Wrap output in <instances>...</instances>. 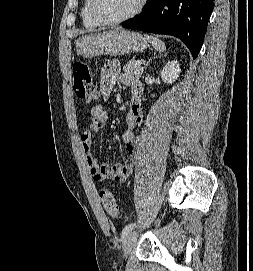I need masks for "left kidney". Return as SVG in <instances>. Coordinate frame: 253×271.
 Segmentation results:
<instances>
[{
	"instance_id": "5707ae66",
	"label": "left kidney",
	"mask_w": 253,
	"mask_h": 271,
	"mask_svg": "<svg viewBox=\"0 0 253 271\" xmlns=\"http://www.w3.org/2000/svg\"><path fill=\"white\" fill-rule=\"evenodd\" d=\"M181 73V69L177 60L168 62L161 71V79L165 83L175 82Z\"/></svg>"
}]
</instances>
